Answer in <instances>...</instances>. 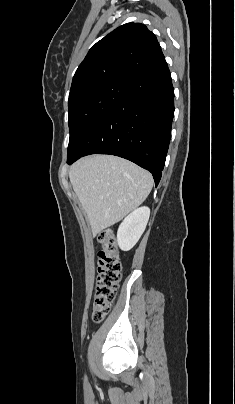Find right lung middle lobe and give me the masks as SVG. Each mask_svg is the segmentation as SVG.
<instances>
[{"mask_svg":"<svg viewBox=\"0 0 235 404\" xmlns=\"http://www.w3.org/2000/svg\"><path fill=\"white\" fill-rule=\"evenodd\" d=\"M125 82H105L80 90L68 100L70 140L67 155L122 96Z\"/></svg>","mask_w":235,"mask_h":404,"instance_id":"right-lung-middle-lobe-1","label":"right lung middle lobe"}]
</instances>
